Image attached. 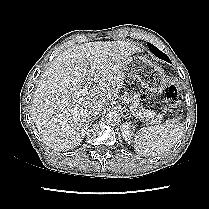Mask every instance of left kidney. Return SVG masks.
Masks as SVG:
<instances>
[{"instance_id":"left-kidney-1","label":"left kidney","mask_w":209,"mask_h":209,"mask_svg":"<svg viewBox=\"0 0 209 209\" xmlns=\"http://www.w3.org/2000/svg\"><path fill=\"white\" fill-rule=\"evenodd\" d=\"M121 134H122V137L128 141V142H131V139H132V130H131V126L129 123H123L121 125Z\"/></svg>"}]
</instances>
